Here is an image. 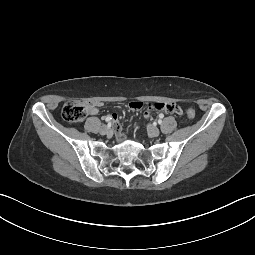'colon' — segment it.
<instances>
[{"instance_id":"obj_1","label":"colon","mask_w":255,"mask_h":255,"mask_svg":"<svg viewBox=\"0 0 255 255\" xmlns=\"http://www.w3.org/2000/svg\"><path fill=\"white\" fill-rule=\"evenodd\" d=\"M89 111L88 105L81 100L67 101L62 109L63 118L70 123H78L85 119ZM187 117L193 119L195 117V110L188 108Z\"/></svg>"}]
</instances>
